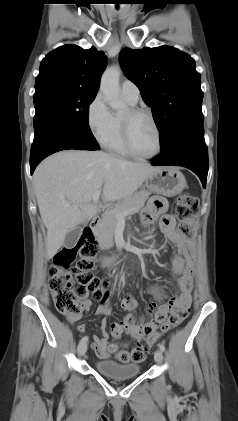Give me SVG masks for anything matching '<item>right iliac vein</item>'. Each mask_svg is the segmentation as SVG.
<instances>
[{"label":"right iliac vein","instance_id":"1","mask_svg":"<svg viewBox=\"0 0 238 421\" xmlns=\"http://www.w3.org/2000/svg\"><path fill=\"white\" fill-rule=\"evenodd\" d=\"M86 351H87V342L81 341L77 347L78 355L83 356L86 353Z\"/></svg>","mask_w":238,"mask_h":421}]
</instances>
